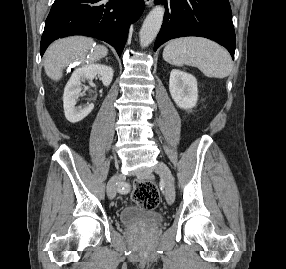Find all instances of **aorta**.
<instances>
[{
	"instance_id": "aorta-1",
	"label": "aorta",
	"mask_w": 286,
	"mask_h": 269,
	"mask_svg": "<svg viewBox=\"0 0 286 269\" xmlns=\"http://www.w3.org/2000/svg\"><path fill=\"white\" fill-rule=\"evenodd\" d=\"M164 13V7L158 5L146 16L139 33L140 45L142 47H147L156 38L163 22Z\"/></svg>"
}]
</instances>
